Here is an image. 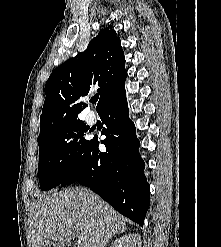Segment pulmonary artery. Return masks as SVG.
<instances>
[{
  "instance_id": "1",
  "label": "pulmonary artery",
  "mask_w": 221,
  "mask_h": 247,
  "mask_svg": "<svg viewBox=\"0 0 221 247\" xmlns=\"http://www.w3.org/2000/svg\"><path fill=\"white\" fill-rule=\"evenodd\" d=\"M89 121L90 122L94 121V115L92 113L89 114Z\"/></svg>"
}]
</instances>
